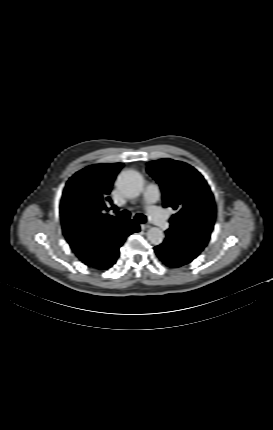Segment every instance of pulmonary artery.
Instances as JSON below:
<instances>
[{"label":"pulmonary artery","mask_w":273,"mask_h":430,"mask_svg":"<svg viewBox=\"0 0 273 430\" xmlns=\"http://www.w3.org/2000/svg\"><path fill=\"white\" fill-rule=\"evenodd\" d=\"M160 189L156 184H149L143 195V203L150 217L161 229L165 230L169 227V223L163 211L156 206L160 199Z\"/></svg>","instance_id":"1"}]
</instances>
